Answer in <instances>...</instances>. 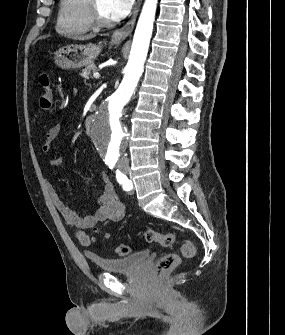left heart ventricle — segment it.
Returning <instances> with one entry per match:
<instances>
[{
	"label": "left heart ventricle",
	"instance_id": "left-heart-ventricle-1",
	"mask_svg": "<svg viewBox=\"0 0 285 335\" xmlns=\"http://www.w3.org/2000/svg\"><path fill=\"white\" fill-rule=\"evenodd\" d=\"M100 2V7H101V11H102V14L103 16L107 19V20H110V16L108 14V11H107V8H106V5H105V1H99Z\"/></svg>",
	"mask_w": 285,
	"mask_h": 335
}]
</instances>
